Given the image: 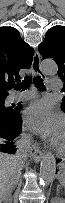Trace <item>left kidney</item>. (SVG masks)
<instances>
[{
	"label": "left kidney",
	"mask_w": 65,
	"mask_h": 203,
	"mask_svg": "<svg viewBox=\"0 0 65 203\" xmlns=\"http://www.w3.org/2000/svg\"><path fill=\"white\" fill-rule=\"evenodd\" d=\"M52 203H65V201L63 199H59L58 201Z\"/></svg>",
	"instance_id": "left-kidney-1"
}]
</instances>
